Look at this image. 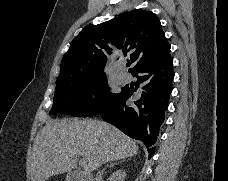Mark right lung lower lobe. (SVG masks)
<instances>
[{
    "label": "right lung lower lobe",
    "instance_id": "98d812e1",
    "mask_svg": "<svg viewBox=\"0 0 228 181\" xmlns=\"http://www.w3.org/2000/svg\"><path fill=\"white\" fill-rule=\"evenodd\" d=\"M132 74L137 76L136 85L122 88L120 97L99 115L131 138L141 140L151 157L155 150L151 146L164 121L172 91L170 46L136 67ZM131 97L132 103L128 101Z\"/></svg>",
    "mask_w": 228,
    "mask_h": 181
}]
</instances>
